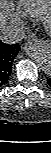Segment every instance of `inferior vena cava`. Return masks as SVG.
<instances>
[{"instance_id": "1", "label": "inferior vena cava", "mask_w": 51, "mask_h": 153, "mask_svg": "<svg viewBox=\"0 0 51 153\" xmlns=\"http://www.w3.org/2000/svg\"><path fill=\"white\" fill-rule=\"evenodd\" d=\"M25 37L24 31L16 26H6L0 31V38L6 44H15Z\"/></svg>"}]
</instances>
